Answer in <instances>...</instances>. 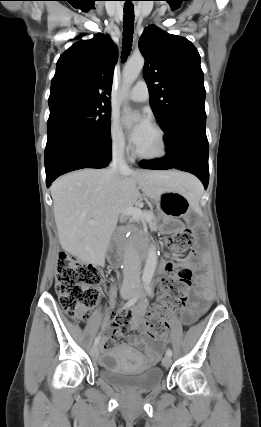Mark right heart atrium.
Returning a JSON list of instances; mask_svg holds the SVG:
<instances>
[{"instance_id":"1","label":"right heart atrium","mask_w":261,"mask_h":427,"mask_svg":"<svg viewBox=\"0 0 261 427\" xmlns=\"http://www.w3.org/2000/svg\"><path fill=\"white\" fill-rule=\"evenodd\" d=\"M109 141L111 149L117 154H125L129 149L125 134L116 119L110 122Z\"/></svg>"}]
</instances>
